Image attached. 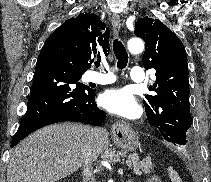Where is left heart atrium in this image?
<instances>
[{
    "label": "left heart atrium",
    "instance_id": "obj_1",
    "mask_svg": "<svg viewBox=\"0 0 211 182\" xmlns=\"http://www.w3.org/2000/svg\"><path fill=\"white\" fill-rule=\"evenodd\" d=\"M101 105L110 113L133 119L140 114V107L127 89L108 90L101 96Z\"/></svg>",
    "mask_w": 211,
    "mask_h": 182
}]
</instances>
